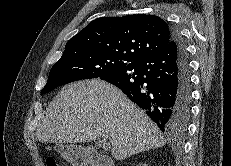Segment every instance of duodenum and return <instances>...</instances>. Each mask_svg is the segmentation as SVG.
<instances>
[{
	"instance_id": "1",
	"label": "duodenum",
	"mask_w": 231,
	"mask_h": 166,
	"mask_svg": "<svg viewBox=\"0 0 231 166\" xmlns=\"http://www.w3.org/2000/svg\"><path fill=\"white\" fill-rule=\"evenodd\" d=\"M82 158L88 166H112L104 155L94 150L85 151Z\"/></svg>"
}]
</instances>
